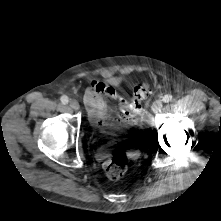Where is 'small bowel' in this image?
I'll list each match as a JSON object with an SVG mask.
<instances>
[{"instance_id":"c3829d8e","label":"small bowel","mask_w":221,"mask_h":221,"mask_svg":"<svg viewBox=\"0 0 221 221\" xmlns=\"http://www.w3.org/2000/svg\"><path fill=\"white\" fill-rule=\"evenodd\" d=\"M117 99L115 90L102 82H92L86 89L84 102L92 123L103 132L111 129H122L132 126L136 122V113L128 109V103L120 99L119 111L111 117L109 101Z\"/></svg>"}]
</instances>
